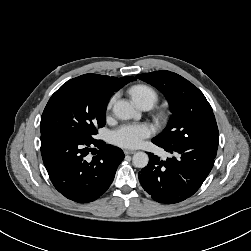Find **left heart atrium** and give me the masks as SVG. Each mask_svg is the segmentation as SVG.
<instances>
[{"mask_svg": "<svg viewBox=\"0 0 251 251\" xmlns=\"http://www.w3.org/2000/svg\"><path fill=\"white\" fill-rule=\"evenodd\" d=\"M152 134L147 124H124L112 134L115 144L125 148H136Z\"/></svg>", "mask_w": 251, "mask_h": 251, "instance_id": "left-heart-atrium-1", "label": "left heart atrium"}]
</instances>
